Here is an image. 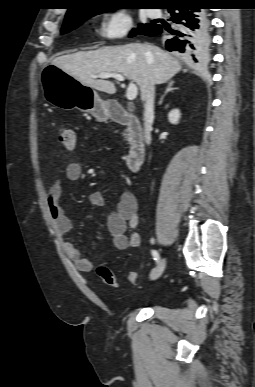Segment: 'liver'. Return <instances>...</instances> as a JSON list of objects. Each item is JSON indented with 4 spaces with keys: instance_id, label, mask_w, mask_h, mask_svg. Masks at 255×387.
<instances>
[{
    "instance_id": "1",
    "label": "liver",
    "mask_w": 255,
    "mask_h": 387,
    "mask_svg": "<svg viewBox=\"0 0 255 387\" xmlns=\"http://www.w3.org/2000/svg\"><path fill=\"white\" fill-rule=\"evenodd\" d=\"M52 64L81 84L107 94L116 92L114 83L94 76L119 73L139 86L141 97L150 83H165L181 70L179 62L169 53L154 45L138 43L61 55Z\"/></svg>"
}]
</instances>
